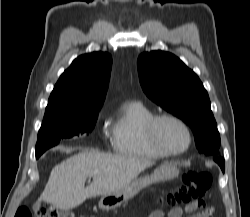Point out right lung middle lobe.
Listing matches in <instances>:
<instances>
[{"label":"right lung middle lobe","instance_id":"right-lung-middle-lobe-1","mask_svg":"<svg viewBox=\"0 0 250 217\" xmlns=\"http://www.w3.org/2000/svg\"><path fill=\"white\" fill-rule=\"evenodd\" d=\"M94 109L84 112L65 113L44 117L38 132L36 158L50 147L59 143L60 139L88 134L95 126L98 111Z\"/></svg>","mask_w":250,"mask_h":217}]
</instances>
